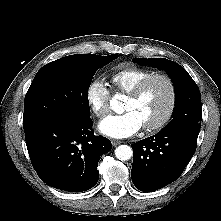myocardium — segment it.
Here are the masks:
<instances>
[{"instance_id": "f54148a6", "label": "myocardium", "mask_w": 221, "mask_h": 221, "mask_svg": "<svg viewBox=\"0 0 221 221\" xmlns=\"http://www.w3.org/2000/svg\"><path fill=\"white\" fill-rule=\"evenodd\" d=\"M155 79H161L164 80L168 87H169V92H170V100H169V105L164 113V115L155 123L147 126H143V129L146 132H154L157 130H160L163 128L172 118L176 105H177V88L174 80L167 74L163 73H153L144 79H142L133 89L128 93V98L136 100L140 98V96L143 94L144 90L148 86V84L155 80Z\"/></svg>"}]
</instances>
